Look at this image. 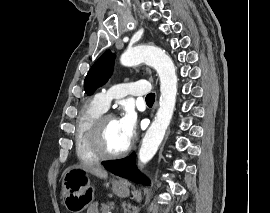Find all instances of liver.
I'll return each instance as SVG.
<instances>
[{
	"label": "liver",
	"instance_id": "obj_1",
	"mask_svg": "<svg viewBox=\"0 0 270 213\" xmlns=\"http://www.w3.org/2000/svg\"><path fill=\"white\" fill-rule=\"evenodd\" d=\"M74 168L82 169L86 172H89V173L99 177V178H107V176H108L107 171L98 165L94 166V165L82 164L79 166H75Z\"/></svg>",
	"mask_w": 270,
	"mask_h": 213
}]
</instances>
